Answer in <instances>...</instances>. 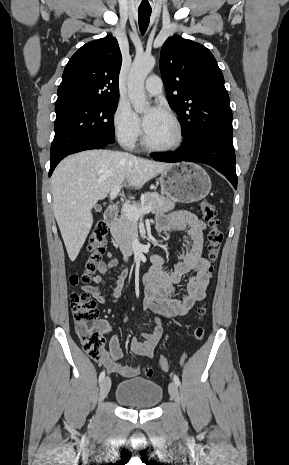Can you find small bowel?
<instances>
[{"instance_id": "small-bowel-1", "label": "small bowel", "mask_w": 289, "mask_h": 465, "mask_svg": "<svg viewBox=\"0 0 289 465\" xmlns=\"http://www.w3.org/2000/svg\"><path fill=\"white\" fill-rule=\"evenodd\" d=\"M156 229L163 233L183 232L187 238V246L177 255V262L173 268H168L162 257H156L149 272L144 276L145 300L144 309H150L166 318L185 315L197 301L205 298L211 282L209 263L204 257L205 223L187 211H175L162 215L157 219ZM107 262L100 261L97 270L100 274L93 277L97 284L102 283L103 274L117 266L118 260L112 252L108 253ZM192 272L186 290L179 291L177 286L183 276ZM127 270H123L110 295H105L99 286H84V290L98 303H118L123 295ZM125 318V316H123ZM99 326L105 333H111L110 325L100 321ZM164 333L160 319H155L150 332L141 333L130 341L133 353L145 357H152L154 350ZM123 353L119 339L111 335L108 341V351H104L99 360L110 372L123 377H133L140 372V367L122 365L119 361Z\"/></svg>"}]
</instances>
